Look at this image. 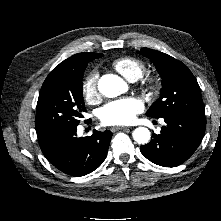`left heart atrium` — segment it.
Masks as SVG:
<instances>
[{"instance_id":"obj_1","label":"left heart atrium","mask_w":221,"mask_h":221,"mask_svg":"<svg viewBox=\"0 0 221 221\" xmlns=\"http://www.w3.org/2000/svg\"><path fill=\"white\" fill-rule=\"evenodd\" d=\"M142 110L141 100L127 97L105 104L100 109L99 117L104 125H126L132 123Z\"/></svg>"}]
</instances>
